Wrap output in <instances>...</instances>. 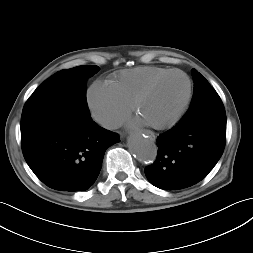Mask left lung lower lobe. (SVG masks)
I'll return each instance as SVG.
<instances>
[{
  "instance_id": "0a47b994",
  "label": "left lung lower lobe",
  "mask_w": 253,
  "mask_h": 253,
  "mask_svg": "<svg viewBox=\"0 0 253 253\" xmlns=\"http://www.w3.org/2000/svg\"><path fill=\"white\" fill-rule=\"evenodd\" d=\"M226 140V115L180 120L157 138L158 156L145 175L165 190L190 187L201 181L220 159Z\"/></svg>"
}]
</instances>
